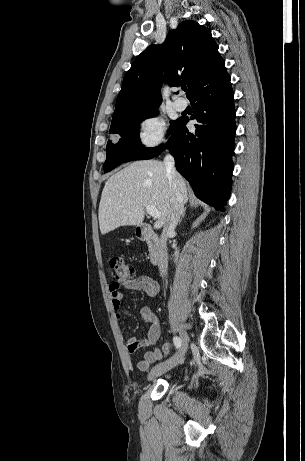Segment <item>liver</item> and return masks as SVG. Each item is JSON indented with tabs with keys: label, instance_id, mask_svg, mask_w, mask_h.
<instances>
[{
	"label": "liver",
	"instance_id": "1",
	"mask_svg": "<svg viewBox=\"0 0 305 461\" xmlns=\"http://www.w3.org/2000/svg\"><path fill=\"white\" fill-rule=\"evenodd\" d=\"M177 175L183 202L188 201L183 178ZM172 190L164 163L157 160L136 161L112 175L105 183L99 204V226L103 235L120 226H138L145 207L160 212L154 228L160 229L170 209Z\"/></svg>",
	"mask_w": 305,
	"mask_h": 461
}]
</instances>
